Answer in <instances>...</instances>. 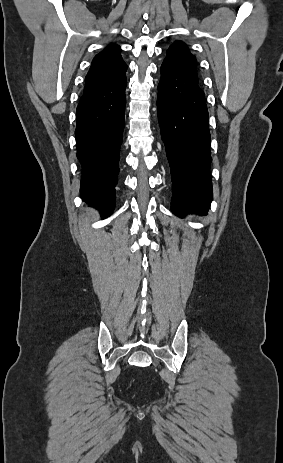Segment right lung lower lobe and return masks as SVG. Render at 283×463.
Segmentation results:
<instances>
[{"mask_svg": "<svg viewBox=\"0 0 283 463\" xmlns=\"http://www.w3.org/2000/svg\"><path fill=\"white\" fill-rule=\"evenodd\" d=\"M126 76L84 92L77 107L75 137L82 166L81 197L103 218L114 209L119 149L125 125Z\"/></svg>", "mask_w": 283, "mask_h": 463, "instance_id": "98d812e1", "label": "right lung lower lobe"}]
</instances>
